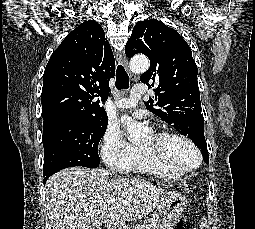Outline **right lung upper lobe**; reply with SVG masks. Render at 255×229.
I'll use <instances>...</instances> for the list:
<instances>
[{
    "label": "right lung upper lobe",
    "instance_id": "1",
    "mask_svg": "<svg viewBox=\"0 0 255 229\" xmlns=\"http://www.w3.org/2000/svg\"><path fill=\"white\" fill-rule=\"evenodd\" d=\"M114 75L115 60L102 27L94 20L82 23L65 37L45 68L41 95L44 122L107 119L99 98L107 99Z\"/></svg>",
    "mask_w": 255,
    "mask_h": 229
}]
</instances>
